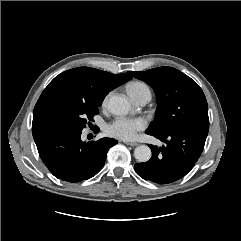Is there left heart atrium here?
Here are the masks:
<instances>
[{
    "mask_svg": "<svg viewBox=\"0 0 241 241\" xmlns=\"http://www.w3.org/2000/svg\"><path fill=\"white\" fill-rule=\"evenodd\" d=\"M145 127L146 121L143 118L117 117L106 125L105 132L111 137L131 140Z\"/></svg>",
    "mask_w": 241,
    "mask_h": 241,
    "instance_id": "1",
    "label": "left heart atrium"
}]
</instances>
